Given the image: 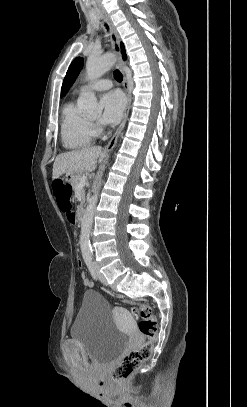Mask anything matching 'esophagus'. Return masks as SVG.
<instances>
[{
	"instance_id": "34e87169",
	"label": "esophagus",
	"mask_w": 247,
	"mask_h": 407,
	"mask_svg": "<svg viewBox=\"0 0 247 407\" xmlns=\"http://www.w3.org/2000/svg\"><path fill=\"white\" fill-rule=\"evenodd\" d=\"M102 12L104 14L106 21L108 22V24L111 28V41H112L113 52L116 56V67L122 72V74L124 76L123 87H124L126 97H127V102H126V106L124 109L122 121H121L119 127L117 128L116 132L114 133L113 137L110 139L108 144L105 146V150H111L115 146L118 136L125 126L127 116L129 113L130 104H131V95H130V91H129L128 79H127L124 69H123V60H122L121 48H120V37H119L118 31H117L115 25L113 24L110 16L106 13V11L102 9Z\"/></svg>"
}]
</instances>
